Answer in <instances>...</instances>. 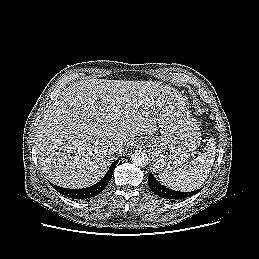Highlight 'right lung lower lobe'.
<instances>
[{
    "label": "right lung lower lobe",
    "mask_w": 259,
    "mask_h": 259,
    "mask_svg": "<svg viewBox=\"0 0 259 259\" xmlns=\"http://www.w3.org/2000/svg\"><path fill=\"white\" fill-rule=\"evenodd\" d=\"M119 160H116L112 163L110 166L109 170L107 171L106 175L95 185L90 186L88 188H82V189H67V188H62L56 185H53V188L58 191L59 193L72 198V199H86V198H91L96 195H98L100 192L104 190V188L108 185L114 168L118 164Z\"/></svg>",
    "instance_id": "1"
}]
</instances>
